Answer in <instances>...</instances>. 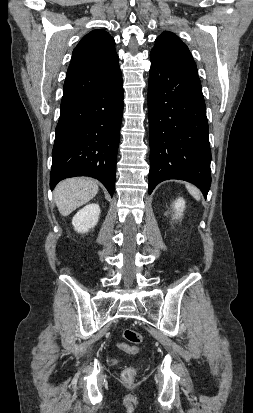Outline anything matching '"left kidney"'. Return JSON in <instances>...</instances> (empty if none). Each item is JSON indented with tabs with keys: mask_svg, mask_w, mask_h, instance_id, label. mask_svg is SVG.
<instances>
[{
	"mask_svg": "<svg viewBox=\"0 0 253 413\" xmlns=\"http://www.w3.org/2000/svg\"><path fill=\"white\" fill-rule=\"evenodd\" d=\"M173 208L175 209V218L178 219L182 216L183 210L185 208V200L183 198H178L174 204Z\"/></svg>",
	"mask_w": 253,
	"mask_h": 413,
	"instance_id": "5707ae66",
	"label": "left kidney"
}]
</instances>
